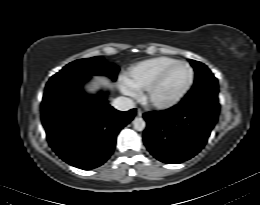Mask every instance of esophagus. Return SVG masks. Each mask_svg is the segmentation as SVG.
Wrapping results in <instances>:
<instances>
[{
    "label": "esophagus",
    "mask_w": 260,
    "mask_h": 205,
    "mask_svg": "<svg viewBox=\"0 0 260 205\" xmlns=\"http://www.w3.org/2000/svg\"><path fill=\"white\" fill-rule=\"evenodd\" d=\"M137 116H138V117H141V116H142V111H141V109H139V108L137 109Z\"/></svg>",
    "instance_id": "1"
}]
</instances>
